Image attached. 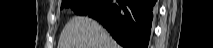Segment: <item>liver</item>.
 <instances>
[{
	"label": "liver",
	"instance_id": "6515ba94",
	"mask_svg": "<svg viewBox=\"0 0 213 48\" xmlns=\"http://www.w3.org/2000/svg\"><path fill=\"white\" fill-rule=\"evenodd\" d=\"M57 48H120L109 33L88 17H73L65 25Z\"/></svg>",
	"mask_w": 213,
	"mask_h": 48
}]
</instances>
